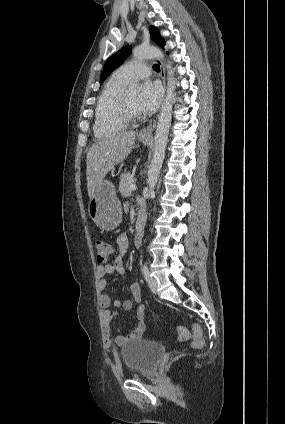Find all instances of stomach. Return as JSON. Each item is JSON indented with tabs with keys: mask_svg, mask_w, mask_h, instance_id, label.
I'll return each instance as SVG.
<instances>
[{
	"mask_svg": "<svg viewBox=\"0 0 285 424\" xmlns=\"http://www.w3.org/2000/svg\"><path fill=\"white\" fill-rule=\"evenodd\" d=\"M141 141L147 144L150 139L141 138ZM88 213L94 223L102 230L115 229L121 223V203L115 187L110 181H103L96 189L89 200Z\"/></svg>",
	"mask_w": 285,
	"mask_h": 424,
	"instance_id": "stomach-1",
	"label": "stomach"
}]
</instances>
